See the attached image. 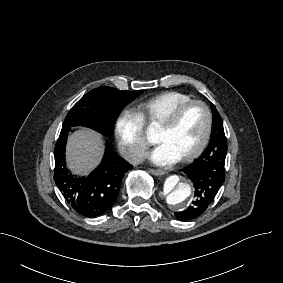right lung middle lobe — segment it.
<instances>
[{"label": "right lung middle lobe", "mask_w": 283, "mask_h": 283, "mask_svg": "<svg viewBox=\"0 0 283 283\" xmlns=\"http://www.w3.org/2000/svg\"><path fill=\"white\" fill-rule=\"evenodd\" d=\"M142 93L141 90L120 91L108 86L93 89L71 108L62 128L85 126L110 136L121 110Z\"/></svg>", "instance_id": "dd1d6c3e"}]
</instances>
